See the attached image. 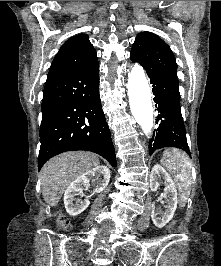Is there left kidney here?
<instances>
[{"instance_id": "1", "label": "left kidney", "mask_w": 221, "mask_h": 266, "mask_svg": "<svg viewBox=\"0 0 221 266\" xmlns=\"http://www.w3.org/2000/svg\"><path fill=\"white\" fill-rule=\"evenodd\" d=\"M164 179L165 184V195H167V205L166 211L162 215V217H158L157 213H155V204L153 203L151 206V218L154 225L158 228L164 227L174 215V212L177 208V190L174 184V181L167 173V171L159 164L154 165L150 175V188L155 189L158 187V180Z\"/></svg>"}]
</instances>
